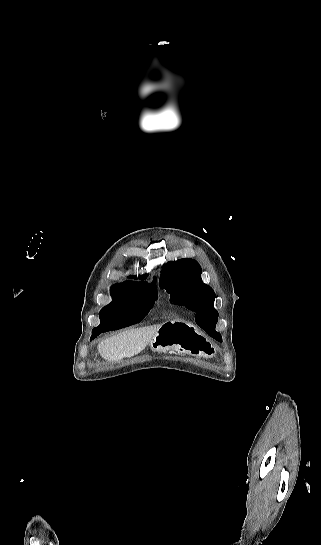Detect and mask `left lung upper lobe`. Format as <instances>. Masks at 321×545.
Wrapping results in <instances>:
<instances>
[{
  "label": "left lung upper lobe",
  "instance_id": "1",
  "mask_svg": "<svg viewBox=\"0 0 321 545\" xmlns=\"http://www.w3.org/2000/svg\"><path fill=\"white\" fill-rule=\"evenodd\" d=\"M201 267L193 259H180L166 264L160 275V288L166 289L170 300L185 304L196 314V323L206 332L215 333L218 312L213 307L215 293L201 279Z\"/></svg>",
  "mask_w": 321,
  "mask_h": 545
}]
</instances>
